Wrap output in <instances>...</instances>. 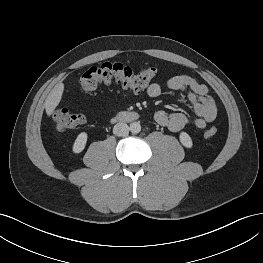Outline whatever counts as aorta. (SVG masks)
Instances as JSON below:
<instances>
[{"label":"aorta","instance_id":"1","mask_svg":"<svg viewBox=\"0 0 263 263\" xmlns=\"http://www.w3.org/2000/svg\"><path fill=\"white\" fill-rule=\"evenodd\" d=\"M129 129H130V131L132 133L137 134V133H139L141 131V125H140L139 122H132L130 124V128Z\"/></svg>","mask_w":263,"mask_h":263}]
</instances>
